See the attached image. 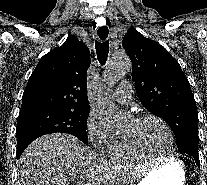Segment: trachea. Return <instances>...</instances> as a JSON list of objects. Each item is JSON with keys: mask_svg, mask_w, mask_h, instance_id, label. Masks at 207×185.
Wrapping results in <instances>:
<instances>
[{"mask_svg": "<svg viewBox=\"0 0 207 185\" xmlns=\"http://www.w3.org/2000/svg\"><path fill=\"white\" fill-rule=\"evenodd\" d=\"M108 32L109 30L107 26L100 27L97 32L101 40H104L103 43H100L98 41L95 42L97 58L101 64H104L106 62L108 52H109V42L108 40H106L108 36Z\"/></svg>", "mask_w": 207, "mask_h": 185, "instance_id": "trachea-1", "label": "trachea"}]
</instances>
